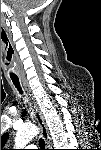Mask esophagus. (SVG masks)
<instances>
[{
  "label": "esophagus",
  "mask_w": 101,
  "mask_h": 150,
  "mask_svg": "<svg viewBox=\"0 0 101 150\" xmlns=\"http://www.w3.org/2000/svg\"><path fill=\"white\" fill-rule=\"evenodd\" d=\"M23 86H24V88L27 92V96L30 100V103H31L32 107H33V111H34V114H35L36 121H37V123L40 127L41 136L44 139L45 144L48 145V138H49L48 128L46 126V123H45L44 117L42 115V112H41V110H40L33 94L31 93V90H30L29 85H28L26 80H23Z\"/></svg>",
  "instance_id": "obj_1"
}]
</instances>
